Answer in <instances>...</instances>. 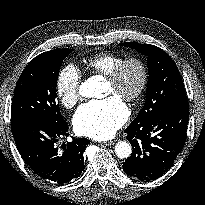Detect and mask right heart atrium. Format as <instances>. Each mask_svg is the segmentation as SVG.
<instances>
[{
	"label": "right heart atrium",
	"mask_w": 205,
	"mask_h": 205,
	"mask_svg": "<svg viewBox=\"0 0 205 205\" xmlns=\"http://www.w3.org/2000/svg\"><path fill=\"white\" fill-rule=\"evenodd\" d=\"M81 73L73 65L63 68L56 79L55 91L66 108H72L80 98Z\"/></svg>",
	"instance_id": "obj_1"
}]
</instances>
